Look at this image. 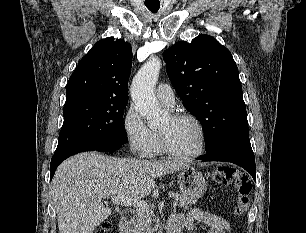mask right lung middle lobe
Here are the masks:
<instances>
[{
	"label": "right lung middle lobe",
	"instance_id": "dd1d6c3e",
	"mask_svg": "<svg viewBox=\"0 0 306 233\" xmlns=\"http://www.w3.org/2000/svg\"><path fill=\"white\" fill-rule=\"evenodd\" d=\"M127 102L79 99L64 105V122L55 153L71 146L95 143H127L123 125Z\"/></svg>",
	"mask_w": 306,
	"mask_h": 233
}]
</instances>
